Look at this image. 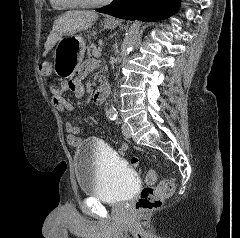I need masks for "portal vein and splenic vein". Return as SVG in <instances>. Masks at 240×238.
Returning <instances> with one entry per match:
<instances>
[{
  "label": "portal vein and splenic vein",
  "mask_w": 240,
  "mask_h": 238,
  "mask_svg": "<svg viewBox=\"0 0 240 238\" xmlns=\"http://www.w3.org/2000/svg\"><path fill=\"white\" fill-rule=\"evenodd\" d=\"M101 48H99L96 52H95V57H100L101 56Z\"/></svg>",
  "instance_id": "1"
}]
</instances>
